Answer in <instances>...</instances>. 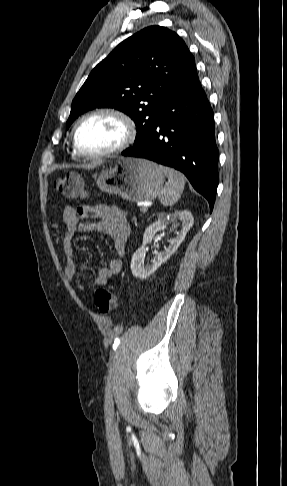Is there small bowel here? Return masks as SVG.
<instances>
[{"instance_id":"small-bowel-1","label":"small bowel","mask_w":287,"mask_h":486,"mask_svg":"<svg viewBox=\"0 0 287 486\" xmlns=\"http://www.w3.org/2000/svg\"><path fill=\"white\" fill-rule=\"evenodd\" d=\"M65 233L62 249L65 255V277L67 281L80 291L91 287L104 286L109 279L122 269L121 257L125 255L127 240L130 235V224L127 214L117 208L105 205L67 206L63 211ZM84 231H102L107 233L114 245L116 258L110 260L107 266H99L96 278L88 284L76 279L73 240L77 233Z\"/></svg>"}]
</instances>
